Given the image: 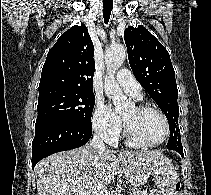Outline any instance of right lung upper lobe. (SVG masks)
Segmentation results:
<instances>
[{
  "label": "right lung upper lobe",
  "instance_id": "1",
  "mask_svg": "<svg viewBox=\"0 0 211 195\" xmlns=\"http://www.w3.org/2000/svg\"><path fill=\"white\" fill-rule=\"evenodd\" d=\"M94 46L84 24L63 33L49 50L42 68L39 92L73 89L92 92Z\"/></svg>",
  "mask_w": 211,
  "mask_h": 195
}]
</instances>
